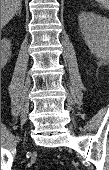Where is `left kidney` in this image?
Here are the masks:
<instances>
[{"label":"left kidney","mask_w":109,"mask_h":170,"mask_svg":"<svg viewBox=\"0 0 109 170\" xmlns=\"http://www.w3.org/2000/svg\"><path fill=\"white\" fill-rule=\"evenodd\" d=\"M78 21L91 53L100 60H106L109 55V20L93 12H83Z\"/></svg>","instance_id":"obj_1"}]
</instances>
